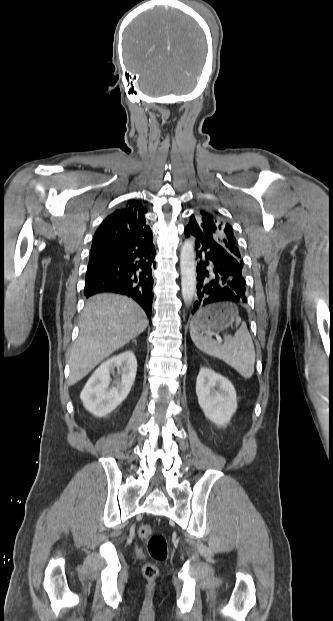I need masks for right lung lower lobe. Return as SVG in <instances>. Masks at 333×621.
<instances>
[{
    "mask_svg": "<svg viewBox=\"0 0 333 621\" xmlns=\"http://www.w3.org/2000/svg\"><path fill=\"white\" fill-rule=\"evenodd\" d=\"M154 245L143 250L100 249L91 251L84 294L88 298L100 292H113L133 298L152 315Z\"/></svg>",
    "mask_w": 333,
    "mask_h": 621,
    "instance_id": "obj_1",
    "label": "right lung lower lobe"
}]
</instances>
